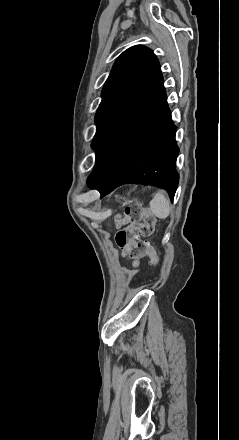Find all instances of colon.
Returning a JSON list of instances; mask_svg holds the SVG:
<instances>
[{
    "label": "colon",
    "mask_w": 239,
    "mask_h": 440,
    "mask_svg": "<svg viewBox=\"0 0 239 440\" xmlns=\"http://www.w3.org/2000/svg\"><path fill=\"white\" fill-rule=\"evenodd\" d=\"M115 224L118 229L116 233V242L119 246H125L132 242L130 256L134 258L149 257L157 264L159 262V253L146 240L134 241L137 235L149 237L155 226V218L149 210L140 204H133L125 209L124 215L115 218Z\"/></svg>",
    "instance_id": "colon-1"
}]
</instances>
